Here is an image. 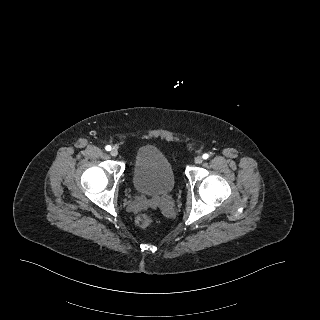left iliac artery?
Here are the masks:
<instances>
[{
    "label": "left iliac artery",
    "mask_w": 320,
    "mask_h": 320,
    "mask_svg": "<svg viewBox=\"0 0 320 320\" xmlns=\"http://www.w3.org/2000/svg\"><path fill=\"white\" fill-rule=\"evenodd\" d=\"M203 159H208L209 158V155L207 153L203 154Z\"/></svg>",
    "instance_id": "left-iliac-artery-1"
}]
</instances>
